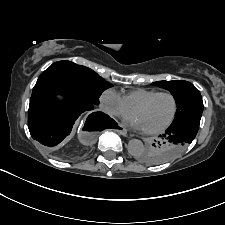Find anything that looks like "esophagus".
<instances>
[{"label":"esophagus","mask_w":225,"mask_h":225,"mask_svg":"<svg viewBox=\"0 0 225 225\" xmlns=\"http://www.w3.org/2000/svg\"><path fill=\"white\" fill-rule=\"evenodd\" d=\"M116 132L123 136L127 135V130L122 125H118V129H116Z\"/></svg>","instance_id":"esophagus-1"}]
</instances>
